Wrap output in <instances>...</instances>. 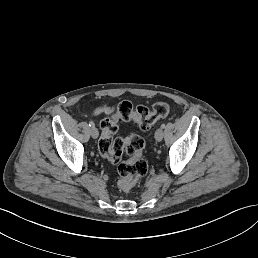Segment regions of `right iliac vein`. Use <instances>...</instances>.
I'll list each match as a JSON object with an SVG mask.
<instances>
[{"mask_svg":"<svg viewBox=\"0 0 258 258\" xmlns=\"http://www.w3.org/2000/svg\"><path fill=\"white\" fill-rule=\"evenodd\" d=\"M89 131H90L91 136H92L93 139H98L99 138V133H98V130H97L96 127H94V126L91 127Z\"/></svg>","mask_w":258,"mask_h":258,"instance_id":"right-iliac-vein-1","label":"right iliac vein"}]
</instances>
